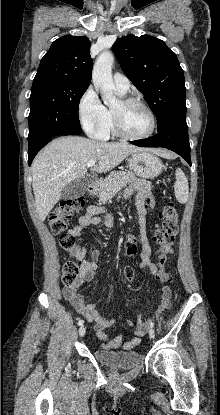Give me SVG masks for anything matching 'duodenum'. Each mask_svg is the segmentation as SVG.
<instances>
[{"label":"duodenum","mask_w":220,"mask_h":415,"mask_svg":"<svg viewBox=\"0 0 220 415\" xmlns=\"http://www.w3.org/2000/svg\"><path fill=\"white\" fill-rule=\"evenodd\" d=\"M95 190H96V182L93 181V180L89 181L88 182V192L90 194H93L95 192Z\"/></svg>","instance_id":"obj_1"}]
</instances>
